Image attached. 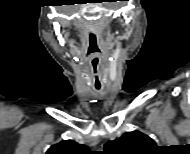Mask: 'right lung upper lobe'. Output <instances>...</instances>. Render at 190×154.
<instances>
[{"instance_id":"right-lung-upper-lobe-1","label":"right lung upper lobe","mask_w":190,"mask_h":154,"mask_svg":"<svg viewBox=\"0 0 190 154\" xmlns=\"http://www.w3.org/2000/svg\"><path fill=\"white\" fill-rule=\"evenodd\" d=\"M87 151L85 145H80L73 140H64L51 146L46 154H84Z\"/></svg>"}]
</instances>
